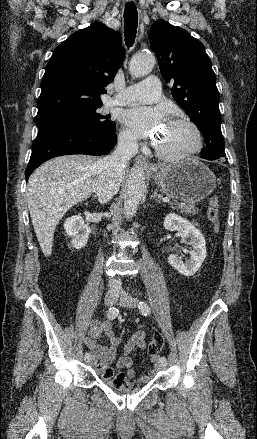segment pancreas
Wrapping results in <instances>:
<instances>
[{
	"label": "pancreas",
	"instance_id": "pancreas-1",
	"mask_svg": "<svg viewBox=\"0 0 257 439\" xmlns=\"http://www.w3.org/2000/svg\"><path fill=\"white\" fill-rule=\"evenodd\" d=\"M171 206L173 209H180L181 213H185L188 215H194L196 213H198V209L195 208V206L193 204H187V203H179L177 201H173L171 203Z\"/></svg>",
	"mask_w": 257,
	"mask_h": 439
}]
</instances>
